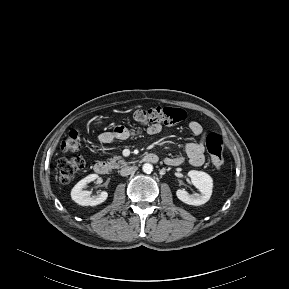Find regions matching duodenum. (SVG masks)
<instances>
[{"label": "duodenum", "mask_w": 289, "mask_h": 289, "mask_svg": "<svg viewBox=\"0 0 289 289\" xmlns=\"http://www.w3.org/2000/svg\"><path fill=\"white\" fill-rule=\"evenodd\" d=\"M140 161L144 163H156L158 161V156L153 153H148L142 156ZM93 168L94 171L100 175H107L111 172L110 165L105 161H97Z\"/></svg>", "instance_id": "duodenum-1"}]
</instances>
